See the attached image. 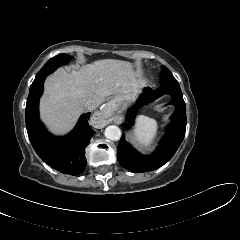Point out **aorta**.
Segmentation results:
<instances>
[{"label": "aorta", "mask_w": 240, "mask_h": 240, "mask_svg": "<svg viewBox=\"0 0 240 240\" xmlns=\"http://www.w3.org/2000/svg\"><path fill=\"white\" fill-rule=\"evenodd\" d=\"M105 137L112 141H117L121 137V130L116 125H110L105 129Z\"/></svg>", "instance_id": "1"}]
</instances>
